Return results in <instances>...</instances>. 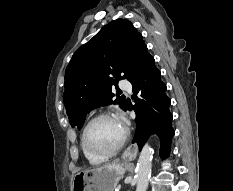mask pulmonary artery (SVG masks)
Masks as SVG:
<instances>
[{
	"label": "pulmonary artery",
	"instance_id": "e3ab8cb5",
	"mask_svg": "<svg viewBox=\"0 0 233 191\" xmlns=\"http://www.w3.org/2000/svg\"><path fill=\"white\" fill-rule=\"evenodd\" d=\"M120 87L122 89L126 90V91H130L131 90V84L128 81H126V80H122L120 82Z\"/></svg>",
	"mask_w": 233,
	"mask_h": 191
}]
</instances>
